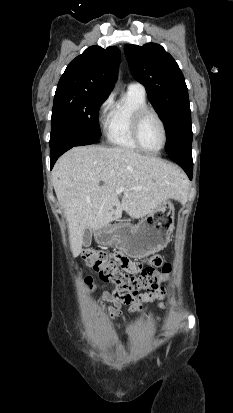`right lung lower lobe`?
Masks as SVG:
<instances>
[{
  "instance_id": "right-lung-lower-lobe-1",
  "label": "right lung lower lobe",
  "mask_w": 233,
  "mask_h": 413,
  "mask_svg": "<svg viewBox=\"0 0 233 413\" xmlns=\"http://www.w3.org/2000/svg\"><path fill=\"white\" fill-rule=\"evenodd\" d=\"M95 140L82 139V138H61L50 144V161L51 169L55 164L56 160L67 150L74 146H82L94 144Z\"/></svg>"
}]
</instances>
